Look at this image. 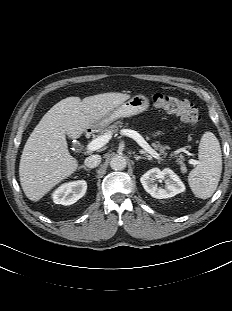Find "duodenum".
Segmentation results:
<instances>
[{
	"instance_id": "duodenum-1",
	"label": "duodenum",
	"mask_w": 232,
	"mask_h": 311,
	"mask_svg": "<svg viewBox=\"0 0 232 311\" xmlns=\"http://www.w3.org/2000/svg\"><path fill=\"white\" fill-rule=\"evenodd\" d=\"M90 134H91V131L89 129L85 130V132H84L85 137H89Z\"/></svg>"
}]
</instances>
